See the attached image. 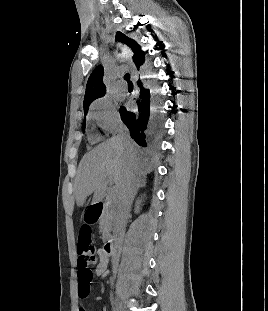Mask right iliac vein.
Wrapping results in <instances>:
<instances>
[{"label":"right iliac vein","instance_id":"1","mask_svg":"<svg viewBox=\"0 0 268 311\" xmlns=\"http://www.w3.org/2000/svg\"><path fill=\"white\" fill-rule=\"evenodd\" d=\"M115 305H116V311H120V308L118 306V302L117 301H115Z\"/></svg>","mask_w":268,"mask_h":311}]
</instances>
